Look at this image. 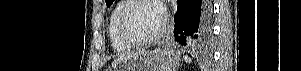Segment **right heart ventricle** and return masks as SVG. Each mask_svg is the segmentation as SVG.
I'll return each instance as SVG.
<instances>
[{
	"label": "right heart ventricle",
	"mask_w": 301,
	"mask_h": 71,
	"mask_svg": "<svg viewBox=\"0 0 301 71\" xmlns=\"http://www.w3.org/2000/svg\"><path fill=\"white\" fill-rule=\"evenodd\" d=\"M127 2L128 1L118 2L115 8L113 9L109 19L108 35H109L111 46L116 52H125L132 48V45L128 44L120 36L119 29H118L119 16L121 11L127 4Z\"/></svg>",
	"instance_id": "right-heart-ventricle-1"
}]
</instances>
